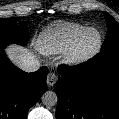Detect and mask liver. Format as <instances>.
<instances>
[{
  "label": "liver",
  "mask_w": 119,
  "mask_h": 119,
  "mask_svg": "<svg viewBox=\"0 0 119 119\" xmlns=\"http://www.w3.org/2000/svg\"><path fill=\"white\" fill-rule=\"evenodd\" d=\"M38 43V44H37ZM37 49L40 47V42H35ZM4 54L11 60L12 63L19 66L24 60L33 56V52L28 48H25L20 45L10 44L8 47L4 49Z\"/></svg>",
  "instance_id": "6515ba94"
}]
</instances>
